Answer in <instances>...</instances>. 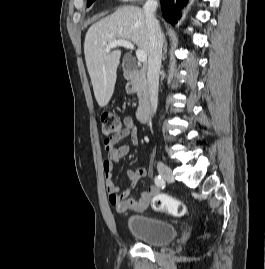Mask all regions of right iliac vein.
Masks as SVG:
<instances>
[{
  "mask_svg": "<svg viewBox=\"0 0 265 269\" xmlns=\"http://www.w3.org/2000/svg\"><path fill=\"white\" fill-rule=\"evenodd\" d=\"M157 169L161 177L166 180L167 182H173L174 181V175L172 170L163 162L157 163Z\"/></svg>",
  "mask_w": 265,
  "mask_h": 269,
  "instance_id": "1",
  "label": "right iliac vein"
}]
</instances>
